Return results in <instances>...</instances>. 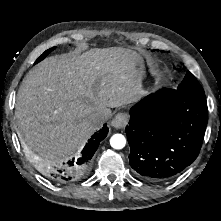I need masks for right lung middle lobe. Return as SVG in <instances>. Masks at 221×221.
I'll list each match as a JSON object with an SVG mask.
<instances>
[{"instance_id": "dd1d6c3e", "label": "right lung middle lobe", "mask_w": 221, "mask_h": 221, "mask_svg": "<svg viewBox=\"0 0 221 221\" xmlns=\"http://www.w3.org/2000/svg\"><path fill=\"white\" fill-rule=\"evenodd\" d=\"M54 49H55V47L46 50V51L36 60L35 64L38 63V62H40L41 60H43V59H44L51 51H53Z\"/></svg>"}]
</instances>
